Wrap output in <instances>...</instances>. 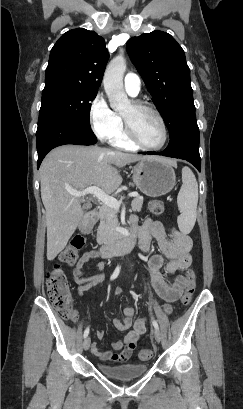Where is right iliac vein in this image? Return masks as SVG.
<instances>
[{
  "label": "right iliac vein",
  "instance_id": "right-iliac-vein-1",
  "mask_svg": "<svg viewBox=\"0 0 243 409\" xmlns=\"http://www.w3.org/2000/svg\"><path fill=\"white\" fill-rule=\"evenodd\" d=\"M90 345H91V339H90L89 336H87V337L85 338L84 342H83V348H84L85 350H88L89 347H90Z\"/></svg>",
  "mask_w": 243,
  "mask_h": 409
}]
</instances>
